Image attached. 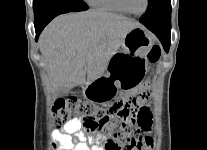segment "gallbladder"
Wrapping results in <instances>:
<instances>
[{
	"instance_id": "obj_1",
	"label": "gallbladder",
	"mask_w": 207,
	"mask_h": 150,
	"mask_svg": "<svg viewBox=\"0 0 207 150\" xmlns=\"http://www.w3.org/2000/svg\"><path fill=\"white\" fill-rule=\"evenodd\" d=\"M64 88H60L59 92L62 93Z\"/></svg>"
}]
</instances>
